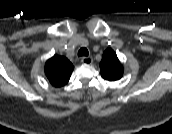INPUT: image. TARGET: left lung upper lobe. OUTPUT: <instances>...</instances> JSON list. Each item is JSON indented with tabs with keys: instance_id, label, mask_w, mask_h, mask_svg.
<instances>
[{
	"instance_id": "obj_1",
	"label": "left lung upper lobe",
	"mask_w": 172,
	"mask_h": 134,
	"mask_svg": "<svg viewBox=\"0 0 172 134\" xmlns=\"http://www.w3.org/2000/svg\"><path fill=\"white\" fill-rule=\"evenodd\" d=\"M100 69L102 77L108 81H116L123 76V66L111 48L103 53Z\"/></svg>"
}]
</instances>
